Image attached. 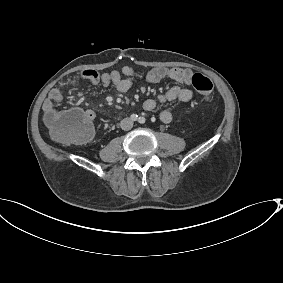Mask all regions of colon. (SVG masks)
Instances as JSON below:
<instances>
[{"mask_svg":"<svg viewBox=\"0 0 283 283\" xmlns=\"http://www.w3.org/2000/svg\"><path fill=\"white\" fill-rule=\"evenodd\" d=\"M193 87L201 93L206 100L213 90L211 80L201 73L192 76ZM51 135L62 142L70 144H84L93 135V123L90 116L79 109L52 112L45 117Z\"/></svg>","mask_w":283,"mask_h":283,"instance_id":"5ec220e1","label":"colon"}]
</instances>
